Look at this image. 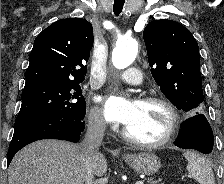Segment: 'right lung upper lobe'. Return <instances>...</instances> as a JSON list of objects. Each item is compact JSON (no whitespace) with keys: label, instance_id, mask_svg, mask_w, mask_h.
Listing matches in <instances>:
<instances>
[{"label":"right lung upper lobe","instance_id":"obj_1","mask_svg":"<svg viewBox=\"0 0 224 184\" xmlns=\"http://www.w3.org/2000/svg\"><path fill=\"white\" fill-rule=\"evenodd\" d=\"M93 40L92 25L86 19L67 18L54 22L34 41L26 84L40 80L82 82Z\"/></svg>","mask_w":224,"mask_h":184}]
</instances>
